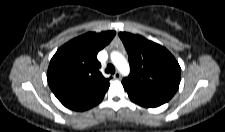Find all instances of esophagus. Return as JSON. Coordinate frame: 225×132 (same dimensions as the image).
Masks as SVG:
<instances>
[{
	"label": "esophagus",
	"mask_w": 225,
	"mask_h": 132,
	"mask_svg": "<svg viewBox=\"0 0 225 132\" xmlns=\"http://www.w3.org/2000/svg\"><path fill=\"white\" fill-rule=\"evenodd\" d=\"M113 77L114 79L119 80L121 78V74L119 72H116Z\"/></svg>",
	"instance_id": "1"
}]
</instances>
